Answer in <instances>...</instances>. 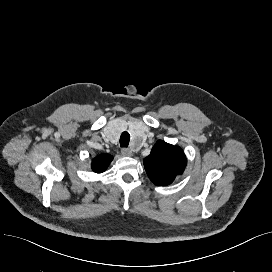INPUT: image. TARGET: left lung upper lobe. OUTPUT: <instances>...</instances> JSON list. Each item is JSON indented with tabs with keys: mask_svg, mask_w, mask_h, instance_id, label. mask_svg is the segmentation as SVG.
Masks as SVG:
<instances>
[{
	"mask_svg": "<svg viewBox=\"0 0 272 272\" xmlns=\"http://www.w3.org/2000/svg\"><path fill=\"white\" fill-rule=\"evenodd\" d=\"M144 167L150 180L156 185H169L186 166L183 150L159 140L144 160Z\"/></svg>",
	"mask_w": 272,
	"mask_h": 272,
	"instance_id": "5c2ea615",
	"label": "left lung upper lobe"
}]
</instances>
